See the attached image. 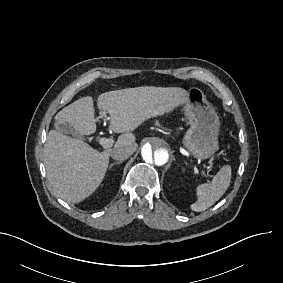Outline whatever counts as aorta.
Masks as SVG:
<instances>
[{
  "label": "aorta",
  "mask_w": 283,
  "mask_h": 283,
  "mask_svg": "<svg viewBox=\"0 0 283 283\" xmlns=\"http://www.w3.org/2000/svg\"><path fill=\"white\" fill-rule=\"evenodd\" d=\"M141 157L143 163L153 170L164 168L171 159L170 146L163 138L147 137L143 140Z\"/></svg>",
  "instance_id": "762f6f07"
}]
</instances>
